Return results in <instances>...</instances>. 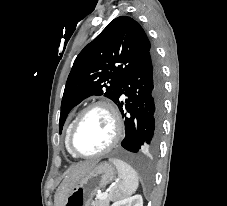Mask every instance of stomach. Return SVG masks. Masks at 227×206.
Masks as SVG:
<instances>
[{
    "mask_svg": "<svg viewBox=\"0 0 227 206\" xmlns=\"http://www.w3.org/2000/svg\"><path fill=\"white\" fill-rule=\"evenodd\" d=\"M116 171L111 163L101 162L86 173L73 187L63 206H90L96 192L112 182ZM68 195V194H67Z\"/></svg>",
    "mask_w": 227,
    "mask_h": 206,
    "instance_id": "1",
    "label": "stomach"
}]
</instances>
